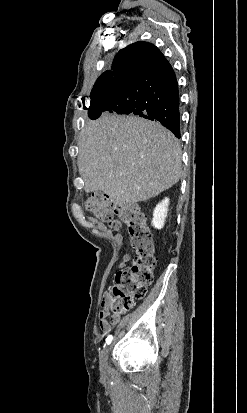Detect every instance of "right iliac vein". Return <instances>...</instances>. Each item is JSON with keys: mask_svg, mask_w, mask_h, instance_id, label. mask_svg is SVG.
Wrapping results in <instances>:
<instances>
[{"mask_svg": "<svg viewBox=\"0 0 247 413\" xmlns=\"http://www.w3.org/2000/svg\"><path fill=\"white\" fill-rule=\"evenodd\" d=\"M108 348L103 349V351L99 354V359H100V367L101 370H105L107 366V361H108ZM105 373V372H104Z\"/></svg>", "mask_w": 247, "mask_h": 413, "instance_id": "1", "label": "right iliac vein"}]
</instances>
